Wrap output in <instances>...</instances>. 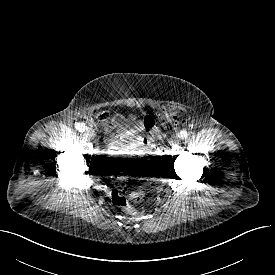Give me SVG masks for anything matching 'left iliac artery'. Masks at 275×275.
<instances>
[{"instance_id": "left-iliac-artery-1", "label": "left iliac artery", "mask_w": 275, "mask_h": 275, "mask_svg": "<svg viewBox=\"0 0 275 275\" xmlns=\"http://www.w3.org/2000/svg\"><path fill=\"white\" fill-rule=\"evenodd\" d=\"M188 136H189V133H188L186 130H182V131H180V133H179V137H180L181 139H186Z\"/></svg>"}]
</instances>
